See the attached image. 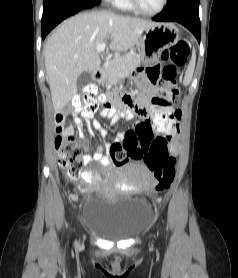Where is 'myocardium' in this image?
I'll return each instance as SVG.
<instances>
[{"mask_svg": "<svg viewBox=\"0 0 238 278\" xmlns=\"http://www.w3.org/2000/svg\"><path fill=\"white\" fill-rule=\"evenodd\" d=\"M130 3V6L132 9H134L137 13L142 14L144 16H148V17H154L159 15L160 13H162L164 11V9L167 6L168 0H162L160 7L155 10V11H147L145 9H143L137 0H128Z\"/></svg>", "mask_w": 238, "mask_h": 278, "instance_id": "f54148a6", "label": "myocardium"}]
</instances>
